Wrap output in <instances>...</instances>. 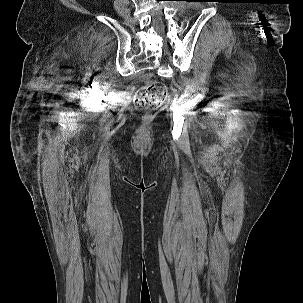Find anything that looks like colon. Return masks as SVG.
<instances>
[{
  "label": "colon",
  "instance_id": "1",
  "mask_svg": "<svg viewBox=\"0 0 303 303\" xmlns=\"http://www.w3.org/2000/svg\"><path fill=\"white\" fill-rule=\"evenodd\" d=\"M167 87L157 81H148L138 88L136 103L146 110H154L162 105L167 99Z\"/></svg>",
  "mask_w": 303,
  "mask_h": 303
}]
</instances>
